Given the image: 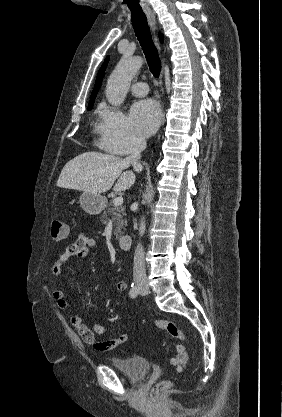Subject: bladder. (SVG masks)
Instances as JSON below:
<instances>
[{
  "mask_svg": "<svg viewBox=\"0 0 282 417\" xmlns=\"http://www.w3.org/2000/svg\"><path fill=\"white\" fill-rule=\"evenodd\" d=\"M108 362L133 381L142 380L151 370L150 362L142 356L112 357Z\"/></svg>",
  "mask_w": 282,
  "mask_h": 417,
  "instance_id": "1",
  "label": "bladder"
}]
</instances>
